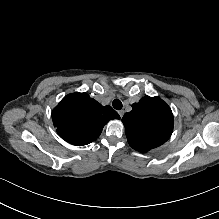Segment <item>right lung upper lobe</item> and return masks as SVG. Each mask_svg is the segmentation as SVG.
Segmentation results:
<instances>
[{"label": "right lung upper lobe", "mask_w": 219, "mask_h": 219, "mask_svg": "<svg viewBox=\"0 0 219 219\" xmlns=\"http://www.w3.org/2000/svg\"><path fill=\"white\" fill-rule=\"evenodd\" d=\"M112 119H120L111 106H102L87 93L65 96L52 112L58 134L67 142L86 145L96 140Z\"/></svg>", "instance_id": "obj_1"}]
</instances>
